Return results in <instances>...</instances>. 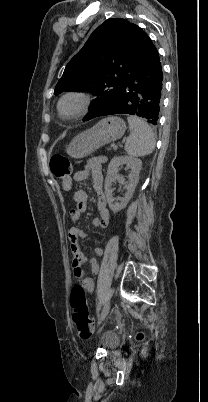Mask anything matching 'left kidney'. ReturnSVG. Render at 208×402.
Masks as SVG:
<instances>
[{
	"mask_svg": "<svg viewBox=\"0 0 208 402\" xmlns=\"http://www.w3.org/2000/svg\"><path fill=\"white\" fill-rule=\"evenodd\" d=\"M124 164H126L127 168H130L131 170L128 182H124L123 176H118L117 174L119 166H124ZM141 168V160H138V158H132V156H115V158L111 160L105 178V194L109 208L114 212V214H117V212L126 208L129 200H131L133 192L139 182V172ZM116 180H119L121 184H126L125 188L127 192L124 198H121L120 204L119 202H115V198L112 196L113 190L111 186L112 182H116Z\"/></svg>",
	"mask_w": 208,
	"mask_h": 402,
	"instance_id": "left-kidney-1",
	"label": "left kidney"
}]
</instances>
